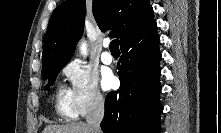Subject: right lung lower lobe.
<instances>
[{
  "label": "right lung lower lobe",
  "instance_id": "obj_1",
  "mask_svg": "<svg viewBox=\"0 0 221 133\" xmlns=\"http://www.w3.org/2000/svg\"><path fill=\"white\" fill-rule=\"evenodd\" d=\"M159 36H141L121 46L120 88L107 94L104 133H160Z\"/></svg>",
  "mask_w": 221,
  "mask_h": 133
}]
</instances>
